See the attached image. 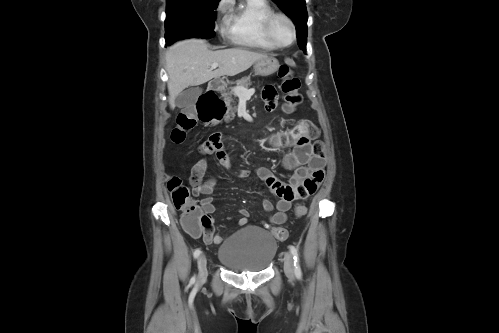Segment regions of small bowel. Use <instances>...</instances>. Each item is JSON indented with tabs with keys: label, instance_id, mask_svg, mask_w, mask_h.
Wrapping results in <instances>:
<instances>
[{
	"label": "small bowel",
	"instance_id": "c3829d8e",
	"mask_svg": "<svg viewBox=\"0 0 499 333\" xmlns=\"http://www.w3.org/2000/svg\"><path fill=\"white\" fill-rule=\"evenodd\" d=\"M263 99L266 108L273 110L277 102V93L273 86L268 85L263 90ZM318 129L310 121L301 119L285 133L272 137V143L276 149L289 148L286 153L283 165L292 172L289 182L279 180L266 168H258L256 174L263 180L267 188L277 197L273 204L270 200H263V207L266 212H272L269 221L273 225H281L287 220V213L291 209L294 201L305 199L313 195L324 179L325 173V150L321 141L317 140ZM199 152L204 156L214 155L219 164L226 169L231 166L229 155L225 149L222 134L217 132L212 134L200 147ZM207 169L205 159L197 162L190 175V184L194 196H204L201 200V207L210 216L215 211L212 193L216 186V179L210 177L204 180ZM249 170H241L236 173L239 178L249 177ZM240 218L237 221L239 226L247 224L250 212L242 208L239 211ZM197 236V235H196ZM224 236L213 234L211 240L205 241L207 244H220Z\"/></svg>",
	"mask_w": 499,
	"mask_h": 333
}]
</instances>
